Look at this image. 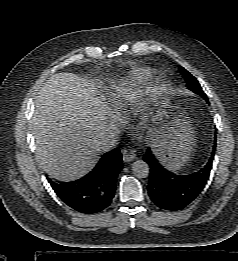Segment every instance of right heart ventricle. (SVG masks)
Segmentation results:
<instances>
[{
	"label": "right heart ventricle",
	"instance_id": "right-heart-ventricle-1",
	"mask_svg": "<svg viewBox=\"0 0 238 261\" xmlns=\"http://www.w3.org/2000/svg\"><path fill=\"white\" fill-rule=\"evenodd\" d=\"M154 73L149 68L137 70L119 92L113 98L116 112H122L128 106L132 105L135 98L139 96L144 88L153 79Z\"/></svg>",
	"mask_w": 238,
	"mask_h": 261
}]
</instances>
